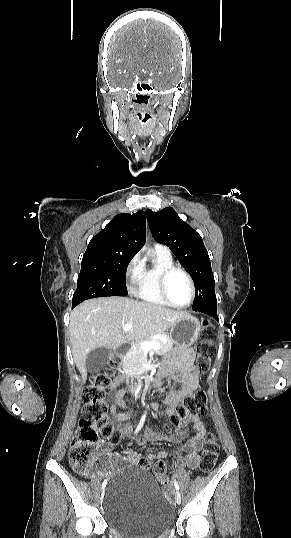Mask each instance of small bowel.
<instances>
[{"mask_svg": "<svg viewBox=\"0 0 291 538\" xmlns=\"http://www.w3.org/2000/svg\"><path fill=\"white\" fill-rule=\"evenodd\" d=\"M193 353L190 350H184L167 356L164 366L167 373L180 382V387L176 390L170 391L163 400L165 408L163 414L171 415L175 412L178 405L182 400L199 386L198 373L192 364ZM125 376L121 375L115 378L110 386L112 391V403L110 406V413L112 418L116 421L118 430L122 436H128L131 433V427L128 424H123L129 418V415L124 412H120V408H125L124 395L125 390L117 388L125 381ZM161 385V381L156 379L153 381V386L158 387ZM188 421L192 423L194 435L188 438L183 444L181 440L184 437V431H178L174 436L167 438V441L178 447L179 449L186 451L185 457L186 465L189 469H196L200 463L199 451L205 437V426L198 415H192L185 418L182 423L186 424ZM105 458L111 465H126L129 463L137 464L141 458L135 450L129 452L127 456L104 453ZM166 453L163 451L150 450L147 456L148 460L164 458Z\"/></svg>", "mask_w": 291, "mask_h": 538, "instance_id": "obj_1", "label": "small bowel"}]
</instances>
